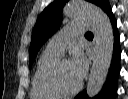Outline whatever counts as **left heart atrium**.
<instances>
[{
	"label": "left heart atrium",
	"mask_w": 128,
	"mask_h": 99,
	"mask_svg": "<svg viewBox=\"0 0 128 99\" xmlns=\"http://www.w3.org/2000/svg\"><path fill=\"white\" fill-rule=\"evenodd\" d=\"M71 67L77 78L81 81L87 72V59L81 50H75L70 61Z\"/></svg>",
	"instance_id": "left-heart-atrium-1"
}]
</instances>
